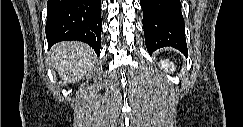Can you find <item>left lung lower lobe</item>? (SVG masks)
<instances>
[{
	"mask_svg": "<svg viewBox=\"0 0 243 127\" xmlns=\"http://www.w3.org/2000/svg\"><path fill=\"white\" fill-rule=\"evenodd\" d=\"M148 52L171 46L187 55L180 0H140Z\"/></svg>",
	"mask_w": 243,
	"mask_h": 127,
	"instance_id": "left-lung-lower-lobe-1",
	"label": "left lung lower lobe"
}]
</instances>
